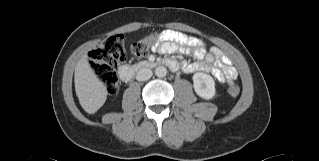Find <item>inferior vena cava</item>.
I'll return each mask as SVG.
<instances>
[{
    "mask_svg": "<svg viewBox=\"0 0 319 161\" xmlns=\"http://www.w3.org/2000/svg\"><path fill=\"white\" fill-rule=\"evenodd\" d=\"M153 73L148 68H142L137 72L136 79L138 81H146L152 77Z\"/></svg>",
    "mask_w": 319,
    "mask_h": 161,
    "instance_id": "inferior-vena-cava-1",
    "label": "inferior vena cava"
}]
</instances>
